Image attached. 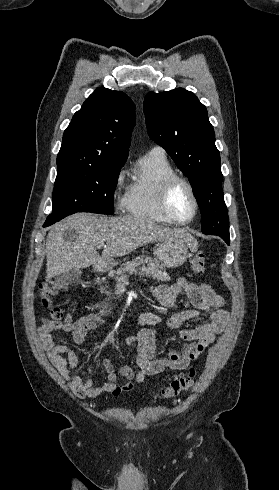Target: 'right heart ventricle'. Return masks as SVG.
<instances>
[{
	"label": "right heart ventricle",
	"mask_w": 279,
	"mask_h": 490,
	"mask_svg": "<svg viewBox=\"0 0 279 490\" xmlns=\"http://www.w3.org/2000/svg\"><path fill=\"white\" fill-rule=\"evenodd\" d=\"M138 178L131 184L124 206L128 215L147 222L173 224L162 212L161 193L165 180L176 174L166 156L148 153L140 160Z\"/></svg>",
	"instance_id": "e07e8e85"
}]
</instances>
